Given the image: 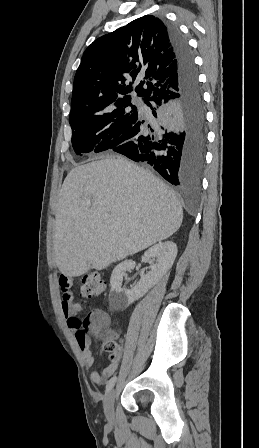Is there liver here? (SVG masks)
<instances>
[{"label":"liver","mask_w":259,"mask_h":448,"mask_svg":"<svg viewBox=\"0 0 259 448\" xmlns=\"http://www.w3.org/2000/svg\"><path fill=\"white\" fill-rule=\"evenodd\" d=\"M103 214H110L108 220ZM182 206L151 172L122 156L69 172L60 190L53 234L64 276L105 270L179 230Z\"/></svg>","instance_id":"obj_1"}]
</instances>
